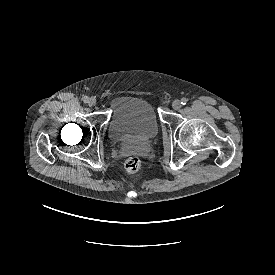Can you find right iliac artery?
<instances>
[{
    "label": "right iliac artery",
    "instance_id": "82829eb1",
    "mask_svg": "<svg viewBox=\"0 0 275 275\" xmlns=\"http://www.w3.org/2000/svg\"><path fill=\"white\" fill-rule=\"evenodd\" d=\"M83 102H84V103H88V102H89V98H88L87 96H84V97H83Z\"/></svg>",
    "mask_w": 275,
    "mask_h": 275
}]
</instances>
